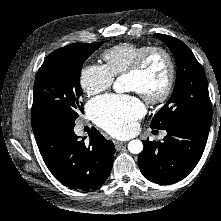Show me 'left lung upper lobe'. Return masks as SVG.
Instances as JSON below:
<instances>
[{
  "label": "left lung upper lobe",
  "instance_id": "obj_1",
  "mask_svg": "<svg viewBox=\"0 0 221 221\" xmlns=\"http://www.w3.org/2000/svg\"><path fill=\"white\" fill-rule=\"evenodd\" d=\"M174 54L177 77L171 98L154 116L151 128L158 130L185 121L211 124L212 107L207 79L192 51L179 39L155 34Z\"/></svg>",
  "mask_w": 221,
  "mask_h": 221
}]
</instances>
